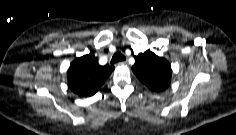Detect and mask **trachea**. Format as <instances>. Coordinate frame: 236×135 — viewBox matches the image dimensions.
Wrapping results in <instances>:
<instances>
[{"mask_svg":"<svg viewBox=\"0 0 236 135\" xmlns=\"http://www.w3.org/2000/svg\"><path fill=\"white\" fill-rule=\"evenodd\" d=\"M124 60H125V56L121 52H116L111 59V63L114 64V63H117L119 61H124Z\"/></svg>","mask_w":236,"mask_h":135,"instance_id":"3493384b","label":"trachea"}]
</instances>
